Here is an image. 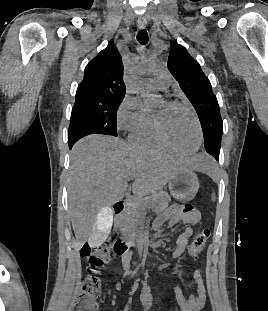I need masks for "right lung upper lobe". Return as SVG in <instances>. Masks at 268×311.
Returning a JSON list of instances; mask_svg holds the SVG:
<instances>
[{
  "instance_id": "obj_1",
  "label": "right lung upper lobe",
  "mask_w": 268,
  "mask_h": 311,
  "mask_svg": "<svg viewBox=\"0 0 268 311\" xmlns=\"http://www.w3.org/2000/svg\"><path fill=\"white\" fill-rule=\"evenodd\" d=\"M76 94L124 98L123 63L113 43H109L87 64L84 79L78 86Z\"/></svg>"
}]
</instances>
